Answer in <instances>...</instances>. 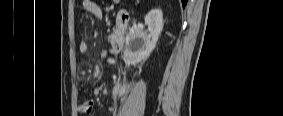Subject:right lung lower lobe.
<instances>
[{
  "instance_id": "98d812e1",
  "label": "right lung lower lobe",
  "mask_w": 283,
  "mask_h": 116,
  "mask_svg": "<svg viewBox=\"0 0 283 116\" xmlns=\"http://www.w3.org/2000/svg\"><path fill=\"white\" fill-rule=\"evenodd\" d=\"M187 0H182L183 7H185Z\"/></svg>"
}]
</instances>
